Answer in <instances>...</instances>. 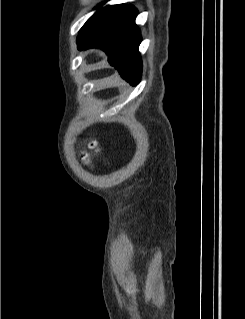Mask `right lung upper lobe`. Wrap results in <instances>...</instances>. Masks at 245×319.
<instances>
[{
    "instance_id": "cb5924a9",
    "label": "right lung upper lobe",
    "mask_w": 245,
    "mask_h": 319,
    "mask_svg": "<svg viewBox=\"0 0 245 319\" xmlns=\"http://www.w3.org/2000/svg\"><path fill=\"white\" fill-rule=\"evenodd\" d=\"M86 29H89V28H83V27H82V29H81V30H86Z\"/></svg>"
}]
</instances>
